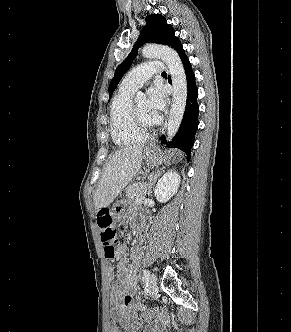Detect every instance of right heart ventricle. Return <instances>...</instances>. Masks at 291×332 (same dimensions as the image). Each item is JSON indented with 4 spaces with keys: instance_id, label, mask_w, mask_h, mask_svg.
I'll list each match as a JSON object with an SVG mask.
<instances>
[{
    "instance_id": "e07e8e85",
    "label": "right heart ventricle",
    "mask_w": 291,
    "mask_h": 332,
    "mask_svg": "<svg viewBox=\"0 0 291 332\" xmlns=\"http://www.w3.org/2000/svg\"><path fill=\"white\" fill-rule=\"evenodd\" d=\"M133 91L120 88L110 108V133L115 144L128 146L144 141L132 122L131 106Z\"/></svg>"
}]
</instances>
